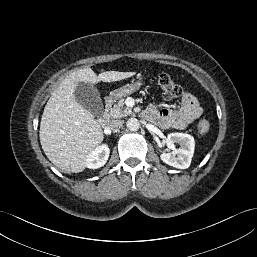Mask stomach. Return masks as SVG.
Segmentation results:
<instances>
[{"label":"stomach","mask_w":257,"mask_h":257,"mask_svg":"<svg viewBox=\"0 0 257 257\" xmlns=\"http://www.w3.org/2000/svg\"><path fill=\"white\" fill-rule=\"evenodd\" d=\"M141 85H142L141 80H138L136 82H132L130 84H127L125 86H122V87L112 91L110 93V97L113 100L119 99L121 97H125L127 95H130V94L134 93L136 90H138L140 88Z\"/></svg>","instance_id":"stomach-1"}]
</instances>
